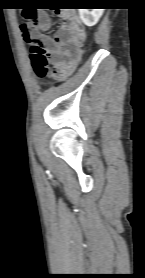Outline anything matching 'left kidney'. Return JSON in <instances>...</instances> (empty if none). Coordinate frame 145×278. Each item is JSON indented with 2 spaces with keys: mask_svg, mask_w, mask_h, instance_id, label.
Masks as SVG:
<instances>
[{
  "mask_svg": "<svg viewBox=\"0 0 145 278\" xmlns=\"http://www.w3.org/2000/svg\"><path fill=\"white\" fill-rule=\"evenodd\" d=\"M104 9H79L80 18L88 26H94L103 14Z\"/></svg>",
  "mask_w": 145,
  "mask_h": 278,
  "instance_id": "obj_1",
  "label": "left kidney"
}]
</instances>
